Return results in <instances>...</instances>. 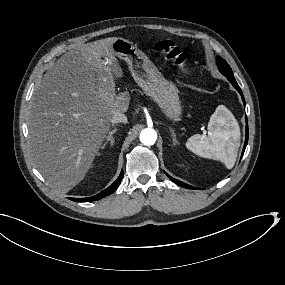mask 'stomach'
<instances>
[{
    "label": "stomach",
    "instance_id": "stomach-1",
    "mask_svg": "<svg viewBox=\"0 0 285 285\" xmlns=\"http://www.w3.org/2000/svg\"><path fill=\"white\" fill-rule=\"evenodd\" d=\"M115 56L129 65L132 77L144 93L150 96L169 119L182 114L178 89L166 80L152 61L133 43L124 38H115L111 45Z\"/></svg>",
    "mask_w": 285,
    "mask_h": 285
}]
</instances>
